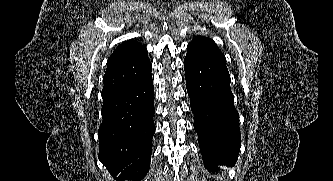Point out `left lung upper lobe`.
I'll return each instance as SVG.
<instances>
[{"instance_id":"1","label":"left lung upper lobe","mask_w":333,"mask_h":181,"mask_svg":"<svg viewBox=\"0 0 333 181\" xmlns=\"http://www.w3.org/2000/svg\"><path fill=\"white\" fill-rule=\"evenodd\" d=\"M188 46L196 48L202 51L203 53L226 63L225 56L217 47L215 42L207 37L197 36L192 40L191 43H189Z\"/></svg>"}]
</instances>
